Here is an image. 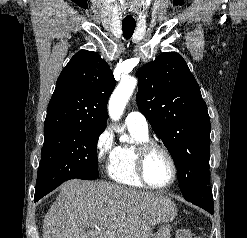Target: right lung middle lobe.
Instances as JSON below:
<instances>
[{
  "label": "right lung middle lobe",
  "instance_id": "dd1d6c3e",
  "mask_svg": "<svg viewBox=\"0 0 247 238\" xmlns=\"http://www.w3.org/2000/svg\"><path fill=\"white\" fill-rule=\"evenodd\" d=\"M103 127L79 126L44 133L34 199L39 200L66 180H95L97 142Z\"/></svg>",
  "mask_w": 247,
  "mask_h": 238
}]
</instances>
